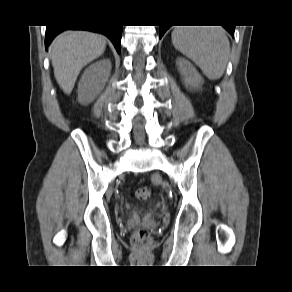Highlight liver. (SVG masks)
Instances as JSON below:
<instances>
[{
	"label": "liver",
	"mask_w": 292,
	"mask_h": 292,
	"mask_svg": "<svg viewBox=\"0 0 292 292\" xmlns=\"http://www.w3.org/2000/svg\"><path fill=\"white\" fill-rule=\"evenodd\" d=\"M105 48L104 38L88 31H65L54 39L50 47L54 75L66 94L72 92L81 69Z\"/></svg>",
	"instance_id": "liver-1"
}]
</instances>
